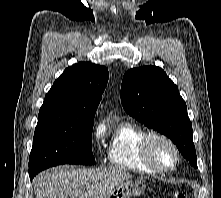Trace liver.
Segmentation results:
<instances>
[{
	"mask_svg": "<svg viewBox=\"0 0 221 198\" xmlns=\"http://www.w3.org/2000/svg\"><path fill=\"white\" fill-rule=\"evenodd\" d=\"M132 177L121 169L58 166L36 177L34 193L36 198H104Z\"/></svg>",
	"mask_w": 221,
	"mask_h": 198,
	"instance_id": "1",
	"label": "liver"
}]
</instances>
